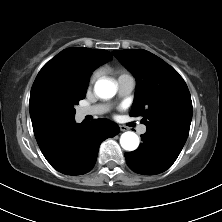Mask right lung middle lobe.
<instances>
[{"label": "right lung middle lobe", "instance_id": "obj_1", "mask_svg": "<svg viewBox=\"0 0 222 222\" xmlns=\"http://www.w3.org/2000/svg\"><path fill=\"white\" fill-rule=\"evenodd\" d=\"M86 90L87 84L73 86L64 94L51 96L45 106L47 117L74 118V105L85 98Z\"/></svg>", "mask_w": 222, "mask_h": 222}]
</instances>
